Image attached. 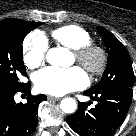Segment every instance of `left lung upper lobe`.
<instances>
[{"mask_svg":"<svg viewBox=\"0 0 136 136\" xmlns=\"http://www.w3.org/2000/svg\"><path fill=\"white\" fill-rule=\"evenodd\" d=\"M97 30L106 45L109 56L101 81L91 90L132 88L134 85V72L125 46L104 27L99 26Z\"/></svg>","mask_w":136,"mask_h":136,"instance_id":"left-lung-upper-lobe-1","label":"left lung upper lobe"}]
</instances>
